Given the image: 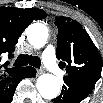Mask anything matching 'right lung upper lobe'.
I'll list each match as a JSON object with an SVG mask.
<instances>
[{
    "instance_id": "obj_1",
    "label": "right lung upper lobe",
    "mask_w": 103,
    "mask_h": 103,
    "mask_svg": "<svg viewBox=\"0 0 103 103\" xmlns=\"http://www.w3.org/2000/svg\"><path fill=\"white\" fill-rule=\"evenodd\" d=\"M46 13L38 8L19 9L14 7L0 8V61L1 56L12 51L26 27L34 20H41ZM8 62L0 64V81L11 79L19 74L21 68L9 67Z\"/></svg>"
}]
</instances>
